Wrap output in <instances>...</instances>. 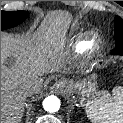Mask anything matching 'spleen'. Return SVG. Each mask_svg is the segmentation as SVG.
<instances>
[{"label":"spleen","instance_id":"3e777b00","mask_svg":"<svg viewBox=\"0 0 123 123\" xmlns=\"http://www.w3.org/2000/svg\"><path fill=\"white\" fill-rule=\"evenodd\" d=\"M86 114L92 123H123V88L115 87L112 95L98 93L87 103Z\"/></svg>","mask_w":123,"mask_h":123}]
</instances>
